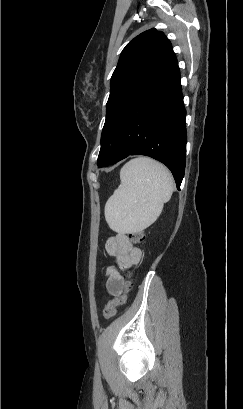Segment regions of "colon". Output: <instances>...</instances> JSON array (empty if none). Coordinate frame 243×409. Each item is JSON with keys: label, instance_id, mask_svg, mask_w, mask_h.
<instances>
[{"label": "colon", "instance_id": "obj_1", "mask_svg": "<svg viewBox=\"0 0 243 409\" xmlns=\"http://www.w3.org/2000/svg\"><path fill=\"white\" fill-rule=\"evenodd\" d=\"M129 237L134 243H142L146 238V233L143 230H136L129 233ZM127 281L125 283L124 292L110 300L103 309V316L106 320H110L116 313L117 308L125 304L127 300L128 292L131 288V283L129 281L130 273L127 272Z\"/></svg>", "mask_w": 243, "mask_h": 409}]
</instances>
